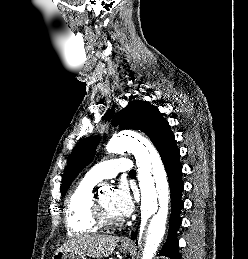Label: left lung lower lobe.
Listing matches in <instances>:
<instances>
[{
    "instance_id": "1",
    "label": "left lung lower lobe",
    "mask_w": 248,
    "mask_h": 259,
    "mask_svg": "<svg viewBox=\"0 0 248 259\" xmlns=\"http://www.w3.org/2000/svg\"><path fill=\"white\" fill-rule=\"evenodd\" d=\"M164 163L171 191V215L169 222V233L167 240L159 252V255L167 256L171 259H181L178 252L177 230L181 225L180 211L184 203L181 200V193L184 184L181 179L182 165L180 163V151L176 146V141L168 143L158 149ZM135 237L134 232L131 233ZM137 243V242H136Z\"/></svg>"
}]
</instances>
